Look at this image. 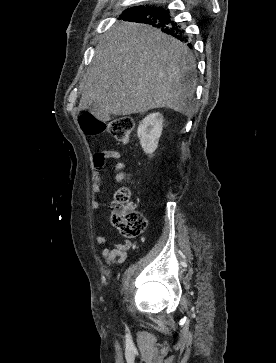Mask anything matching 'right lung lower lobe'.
Instances as JSON below:
<instances>
[{
    "instance_id": "right-lung-lower-lobe-1",
    "label": "right lung lower lobe",
    "mask_w": 276,
    "mask_h": 363,
    "mask_svg": "<svg viewBox=\"0 0 276 363\" xmlns=\"http://www.w3.org/2000/svg\"><path fill=\"white\" fill-rule=\"evenodd\" d=\"M125 21H135L140 23L151 24L157 28H160L164 33L170 34L181 41H187L185 31L180 25L175 23L170 16V11L165 7H153L144 13L136 16L123 17ZM192 48L191 44H188Z\"/></svg>"
}]
</instances>
